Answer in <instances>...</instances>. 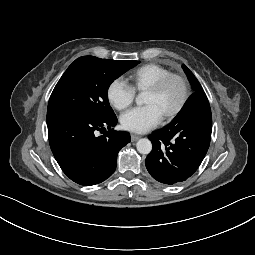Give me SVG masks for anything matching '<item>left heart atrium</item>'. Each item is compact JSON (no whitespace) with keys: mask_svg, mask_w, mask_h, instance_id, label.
<instances>
[{"mask_svg":"<svg viewBox=\"0 0 255 255\" xmlns=\"http://www.w3.org/2000/svg\"><path fill=\"white\" fill-rule=\"evenodd\" d=\"M163 118L162 112L154 104L133 108L121 116V125L125 130L145 133L158 125Z\"/></svg>","mask_w":255,"mask_h":255,"instance_id":"left-heart-atrium-1","label":"left heart atrium"}]
</instances>
